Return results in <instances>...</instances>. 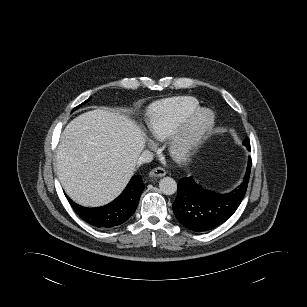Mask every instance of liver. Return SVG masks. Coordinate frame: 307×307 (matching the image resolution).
I'll use <instances>...</instances> for the list:
<instances>
[{"instance_id": "obj_1", "label": "liver", "mask_w": 307, "mask_h": 307, "mask_svg": "<svg viewBox=\"0 0 307 307\" xmlns=\"http://www.w3.org/2000/svg\"><path fill=\"white\" fill-rule=\"evenodd\" d=\"M144 133L124 115L103 109L74 118L56 154L63 189L76 203L98 207L114 200L133 176Z\"/></svg>"}]
</instances>
